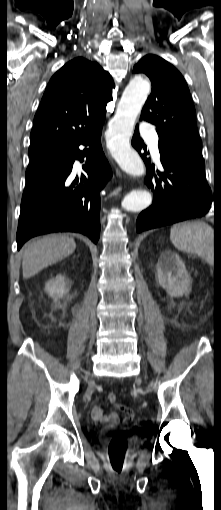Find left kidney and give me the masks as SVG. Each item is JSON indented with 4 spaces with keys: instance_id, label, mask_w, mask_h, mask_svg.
<instances>
[{
    "instance_id": "left-kidney-1",
    "label": "left kidney",
    "mask_w": 221,
    "mask_h": 510,
    "mask_svg": "<svg viewBox=\"0 0 221 510\" xmlns=\"http://www.w3.org/2000/svg\"><path fill=\"white\" fill-rule=\"evenodd\" d=\"M157 280L171 297H180L191 289L190 276L185 264L173 251L162 253L158 259Z\"/></svg>"
}]
</instances>
